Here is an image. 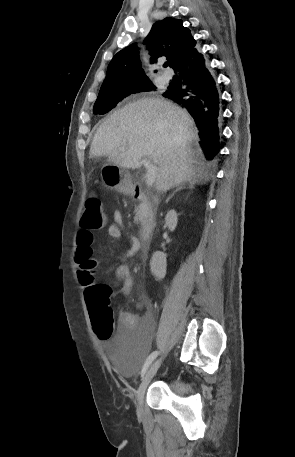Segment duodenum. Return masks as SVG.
<instances>
[{"label":"duodenum","mask_w":295,"mask_h":457,"mask_svg":"<svg viewBox=\"0 0 295 457\" xmlns=\"http://www.w3.org/2000/svg\"><path fill=\"white\" fill-rule=\"evenodd\" d=\"M133 196L136 200L143 203L148 210L146 219L142 225L140 233L141 250L143 252H147L150 247L154 233V221L150 210V202L147 195L139 188H136L134 190Z\"/></svg>","instance_id":"1"}]
</instances>
